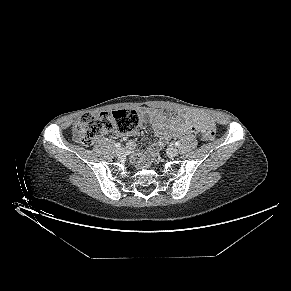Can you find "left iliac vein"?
I'll return each mask as SVG.
<instances>
[{
  "mask_svg": "<svg viewBox=\"0 0 291 291\" xmlns=\"http://www.w3.org/2000/svg\"><path fill=\"white\" fill-rule=\"evenodd\" d=\"M167 154L170 156V157H175L178 155V149L175 148V147H170L167 149Z\"/></svg>",
  "mask_w": 291,
  "mask_h": 291,
  "instance_id": "left-iliac-vein-1",
  "label": "left iliac vein"
}]
</instances>
